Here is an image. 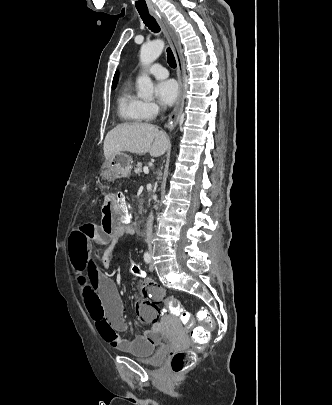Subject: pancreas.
<instances>
[{"mask_svg":"<svg viewBox=\"0 0 332 405\" xmlns=\"http://www.w3.org/2000/svg\"><path fill=\"white\" fill-rule=\"evenodd\" d=\"M134 172H135L136 174H138V175L142 172V163H141V162H138V163L136 164V166H135V168H134Z\"/></svg>","mask_w":332,"mask_h":405,"instance_id":"pancreas-1","label":"pancreas"}]
</instances>
